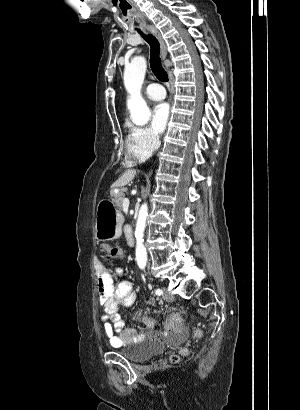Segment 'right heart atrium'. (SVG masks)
<instances>
[{"instance_id": "d8ad5b80", "label": "right heart atrium", "mask_w": 300, "mask_h": 410, "mask_svg": "<svg viewBox=\"0 0 300 410\" xmlns=\"http://www.w3.org/2000/svg\"><path fill=\"white\" fill-rule=\"evenodd\" d=\"M159 135L149 127L134 126L130 130L129 149L138 159L150 157L159 147Z\"/></svg>"}]
</instances>
